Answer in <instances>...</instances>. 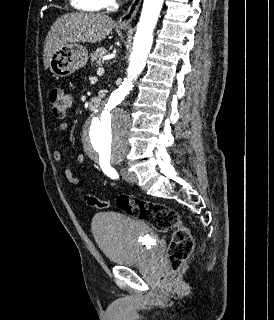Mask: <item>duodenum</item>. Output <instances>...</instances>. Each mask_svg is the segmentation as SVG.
I'll use <instances>...</instances> for the list:
<instances>
[{
    "mask_svg": "<svg viewBox=\"0 0 274 320\" xmlns=\"http://www.w3.org/2000/svg\"><path fill=\"white\" fill-rule=\"evenodd\" d=\"M101 106V100L98 97H93L89 102V108L92 110L99 109Z\"/></svg>",
    "mask_w": 274,
    "mask_h": 320,
    "instance_id": "410a0bca",
    "label": "duodenum"
}]
</instances>
